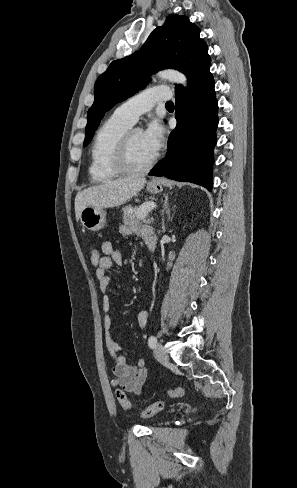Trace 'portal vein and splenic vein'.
I'll return each mask as SVG.
<instances>
[{
	"instance_id": "1",
	"label": "portal vein and splenic vein",
	"mask_w": 297,
	"mask_h": 488,
	"mask_svg": "<svg viewBox=\"0 0 297 488\" xmlns=\"http://www.w3.org/2000/svg\"><path fill=\"white\" fill-rule=\"evenodd\" d=\"M155 207H156V205L154 203H147L145 205H142L141 208H140V210H141L142 213H146V212L151 211Z\"/></svg>"
}]
</instances>
